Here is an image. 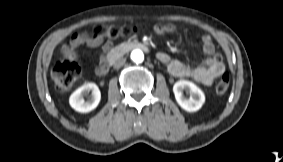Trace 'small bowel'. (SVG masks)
I'll use <instances>...</instances> for the list:
<instances>
[{
	"label": "small bowel",
	"instance_id": "small-bowel-1",
	"mask_svg": "<svg viewBox=\"0 0 283 162\" xmlns=\"http://www.w3.org/2000/svg\"><path fill=\"white\" fill-rule=\"evenodd\" d=\"M173 24H157L154 27V32L158 35L172 33L175 31ZM203 51L207 57L202 61L201 65L192 67L185 64L177 59H172L168 54L164 52L158 53V59L167 66L169 73L173 76L180 78H191L204 85H211L214 80L222 75L225 71L224 64L221 57L215 54V45L211 36L203 35L201 37ZM85 45L89 48H96L102 46L101 55L99 58V64L94 70V73L99 76L106 78L110 74L109 60L107 57L110 56V49L114 48L110 42H105L103 37L91 36L87 33H76L73 34L70 39L64 44L62 51L67 61L75 62L78 61L76 54V48ZM110 48V49H109Z\"/></svg>",
	"mask_w": 283,
	"mask_h": 162
}]
</instances>
